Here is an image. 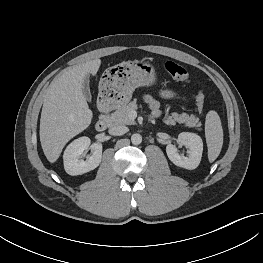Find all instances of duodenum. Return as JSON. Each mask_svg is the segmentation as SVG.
Wrapping results in <instances>:
<instances>
[{
    "mask_svg": "<svg viewBox=\"0 0 263 263\" xmlns=\"http://www.w3.org/2000/svg\"><path fill=\"white\" fill-rule=\"evenodd\" d=\"M109 110L110 108L104 102H100L99 104L100 118L95 125L96 131L103 132L107 129L110 121Z\"/></svg>",
    "mask_w": 263,
    "mask_h": 263,
    "instance_id": "obj_1",
    "label": "duodenum"
}]
</instances>
